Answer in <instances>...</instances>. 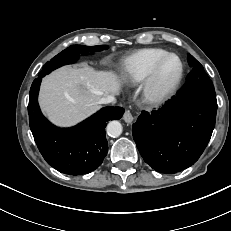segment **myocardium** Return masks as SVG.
I'll list each match as a JSON object with an SVG mask.
<instances>
[{"instance_id": "f54148a6", "label": "myocardium", "mask_w": 231, "mask_h": 231, "mask_svg": "<svg viewBox=\"0 0 231 231\" xmlns=\"http://www.w3.org/2000/svg\"><path fill=\"white\" fill-rule=\"evenodd\" d=\"M171 57H175L179 61V72L171 83L161 86L158 82L160 70L163 64ZM183 76L184 63L181 57L175 53H167L157 61L144 81L142 89L144 101L150 104H157L164 101L176 91L183 79Z\"/></svg>"}]
</instances>
